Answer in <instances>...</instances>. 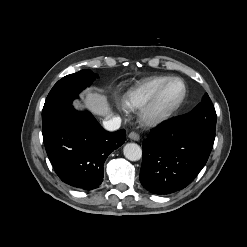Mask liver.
Returning <instances> with one entry per match:
<instances>
[{
	"instance_id": "6515ba94",
	"label": "liver",
	"mask_w": 247,
	"mask_h": 247,
	"mask_svg": "<svg viewBox=\"0 0 247 247\" xmlns=\"http://www.w3.org/2000/svg\"><path fill=\"white\" fill-rule=\"evenodd\" d=\"M84 106L79 102H75L74 106L77 109L82 107L88 108L93 114L104 116L106 119H109L112 116L111 109L109 107L107 98L97 92L87 91L84 99Z\"/></svg>"
}]
</instances>
